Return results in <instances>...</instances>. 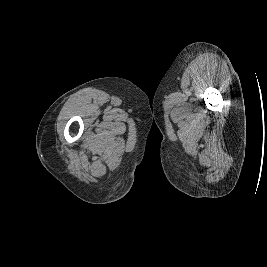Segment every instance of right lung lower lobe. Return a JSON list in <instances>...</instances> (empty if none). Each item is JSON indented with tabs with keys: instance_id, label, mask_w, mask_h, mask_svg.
I'll return each instance as SVG.
<instances>
[{
	"instance_id": "1",
	"label": "right lung lower lobe",
	"mask_w": 267,
	"mask_h": 267,
	"mask_svg": "<svg viewBox=\"0 0 267 267\" xmlns=\"http://www.w3.org/2000/svg\"><path fill=\"white\" fill-rule=\"evenodd\" d=\"M154 148L149 144H147V148H146V154H150L153 153Z\"/></svg>"
}]
</instances>
